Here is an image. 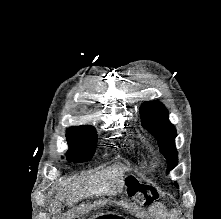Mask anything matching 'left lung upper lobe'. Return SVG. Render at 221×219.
I'll use <instances>...</instances> for the list:
<instances>
[{
    "label": "left lung upper lobe",
    "mask_w": 221,
    "mask_h": 219,
    "mask_svg": "<svg viewBox=\"0 0 221 219\" xmlns=\"http://www.w3.org/2000/svg\"><path fill=\"white\" fill-rule=\"evenodd\" d=\"M142 125L158 141L160 152L167 159V173L172 170L178 162L175 147L176 130L168 120V111L158 101L144 102L140 107ZM178 187L177 183H175Z\"/></svg>",
    "instance_id": "left-lung-upper-lobe-1"
}]
</instances>
